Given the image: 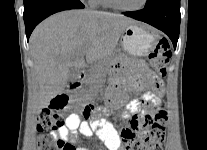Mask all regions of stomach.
Masks as SVG:
<instances>
[{
    "mask_svg": "<svg viewBox=\"0 0 207 150\" xmlns=\"http://www.w3.org/2000/svg\"><path fill=\"white\" fill-rule=\"evenodd\" d=\"M157 33L143 24H130L121 34V44L124 52L134 58L146 57L156 44ZM114 87L109 86L108 92H113Z\"/></svg>",
    "mask_w": 207,
    "mask_h": 150,
    "instance_id": "1",
    "label": "stomach"
}]
</instances>
